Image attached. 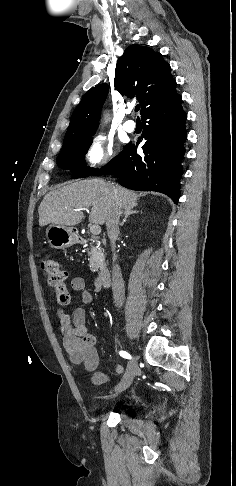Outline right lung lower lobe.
Wrapping results in <instances>:
<instances>
[{"label":"right lung lower lobe","mask_w":236,"mask_h":486,"mask_svg":"<svg viewBox=\"0 0 236 486\" xmlns=\"http://www.w3.org/2000/svg\"><path fill=\"white\" fill-rule=\"evenodd\" d=\"M182 98L174 94L168 99L147 107L141 118L144 122L143 155L136 154L137 145L129 143L106 166L94 175L113 174L119 183L138 191H157L178 202L182 176L183 146L187 139V114L181 107Z\"/></svg>","instance_id":"98d812e1"}]
</instances>
